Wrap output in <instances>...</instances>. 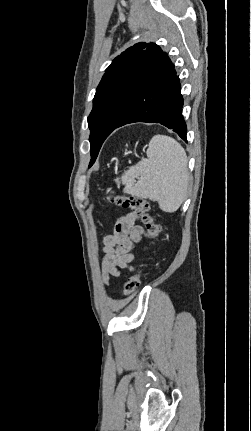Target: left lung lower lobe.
Instances as JSON below:
<instances>
[{"label":"left lung lower lobe","mask_w":251,"mask_h":431,"mask_svg":"<svg viewBox=\"0 0 251 431\" xmlns=\"http://www.w3.org/2000/svg\"><path fill=\"white\" fill-rule=\"evenodd\" d=\"M180 91L174 65L162 52L115 129L134 122L160 123L187 141Z\"/></svg>","instance_id":"obj_1"}]
</instances>
